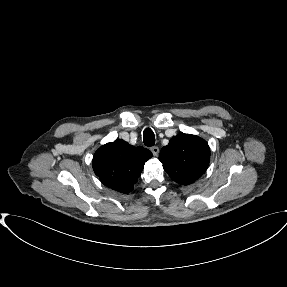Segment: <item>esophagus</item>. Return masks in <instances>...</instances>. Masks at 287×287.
Segmentation results:
<instances>
[{
  "mask_svg": "<svg viewBox=\"0 0 287 287\" xmlns=\"http://www.w3.org/2000/svg\"><path fill=\"white\" fill-rule=\"evenodd\" d=\"M150 150L154 156H157L159 154V148L157 146L151 147Z\"/></svg>",
  "mask_w": 287,
  "mask_h": 287,
  "instance_id": "1",
  "label": "esophagus"
}]
</instances>
